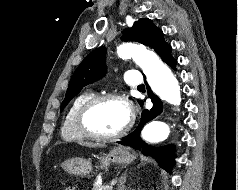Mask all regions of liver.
Returning <instances> with one entry per match:
<instances>
[{
	"label": "liver",
	"instance_id": "1",
	"mask_svg": "<svg viewBox=\"0 0 238 190\" xmlns=\"http://www.w3.org/2000/svg\"><path fill=\"white\" fill-rule=\"evenodd\" d=\"M83 145L88 146V147H96V146H97V145L91 144V143H85V144H83Z\"/></svg>",
	"mask_w": 238,
	"mask_h": 190
}]
</instances>
